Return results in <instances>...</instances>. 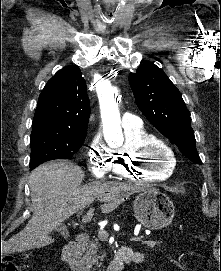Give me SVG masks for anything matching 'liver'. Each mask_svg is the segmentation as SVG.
Masks as SVG:
<instances>
[{
    "label": "liver",
    "instance_id": "obj_1",
    "mask_svg": "<svg viewBox=\"0 0 221 271\" xmlns=\"http://www.w3.org/2000/svg\"><path fill=\"white\" fill-rule=\"evenodd\" d=\"M84 171L66 161H47L29 175L33 215L24 229L4 243L7 253L26 251L53 243L50 233L64 219L88 207L95 197L105 201L103 209H115L123 201L124 191H135L130 183L90 181L81 185ZM109 191V193H105Z\"/></svg>",
    "mask_w": 221,
    "mask_h": 271
}]
</instances>
